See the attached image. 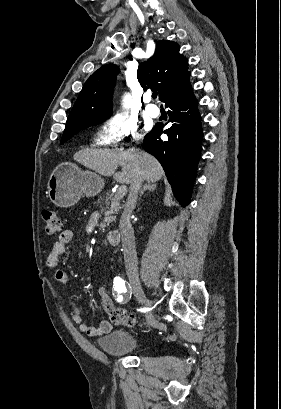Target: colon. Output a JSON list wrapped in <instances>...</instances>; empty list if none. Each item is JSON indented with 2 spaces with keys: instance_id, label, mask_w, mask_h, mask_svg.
I'll return each mask as SVG.
<instances>
[{
  "instance_id": "1",
  "label": "colon",
  "mask_w": 281,
  "mask_h": 409,
  "mask_svg": "<svg viewBox=\"0 0 281 409\" xmlns=\"http://www.w3.org/2000/svg\"><path fill=\"white\" fill-rule=\"evenodd\" d=\"M42 214L46 223V230L49 234L62 233L64 231L63 222L56 211L44 209ZM108 314L111 320L119 325L131 327L136 324L135 317L128 315L125 311L123 313L122 306H111L108 308Z\"/></svg>"
}]
</instances>
